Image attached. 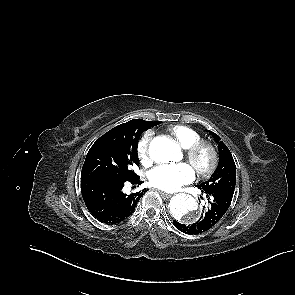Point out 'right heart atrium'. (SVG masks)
<instances>
[{"label":"right heart atrium","mask_w":295,"mask_h":295,"mask_svg":"<svg viewBox=\"0 0 295 295\" xmlns=\"http://www.w3.org/2000/svg\"><path fill=\"white\" fill-rule=\"evenodd\" d=\"M151 135L145 134L137 145L138 157L143 165L149 166L152 164L154 158L150 151Z\"/></svg>","instance_id":"d8ad5b80"}]
</instances>
